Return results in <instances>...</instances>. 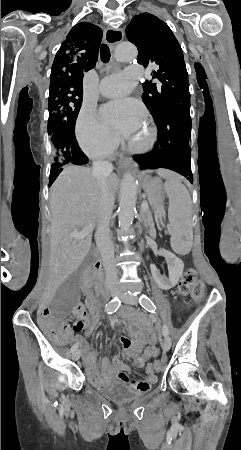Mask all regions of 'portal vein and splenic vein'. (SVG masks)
<instances>
[{
	"instance_id": "1",
	"label": "portal vein and splenic vein",
	"mask_w": 241,
	"mask_h": 450,
	"mask_svg": "<svg viewBox=\"0 0 241 450\" xmlns=\"http://www.w3.org/2000/svg\"><path fill=\"white\" fill-rule=\"evenodd\" d=\"M148 202H143V204H141V211L142 213H147V207H148ZM159 208L156 209L157 213H163L164 212V204H159V206H157ZM93 228H84V230H82V232H72V234H70L71 238H77V240H83V238H86V236H88V234H90V232H92Z\"/></svg>"
}]
</instances>
